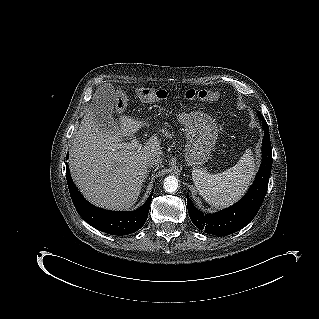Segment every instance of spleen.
Segmentation results:
<instances>
[{
  "mask_svg": "<svg viewBox=\"0 0 319 319\" xmlns=\"http://www.w3.org/2000/svg\"><path fill=\"white\" fill-rule=\"evenodd\" d=\"M255 171L252 152L247 149L236 165L224 172L210 174L201 169H194L192 179L207 203L214 207H226L245 193Z\"/></svg>",
  "mask_w": 319,
  "mask_h": 319,
  "instance_id": "obj_1",
  "label": "spleen"
}]
</instances>
